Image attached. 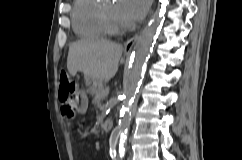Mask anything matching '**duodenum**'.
Wrapping results in <instances>:
<instances>
[{"label":"duodenum","mask_w":242,"mask_h":160,"mask_svg":"<svg viewBox=\"0 0 242 160\" xmlns=\"http://www.w3.org/2000/svg\"><path fill=\"white\" fill-rule=\"evenodd\" d=\"M113 127V122L111 120H105V122L103 123V131L104 132H109Z\"/></svg>","instance_id":"410a0bca"}]
</instances>
